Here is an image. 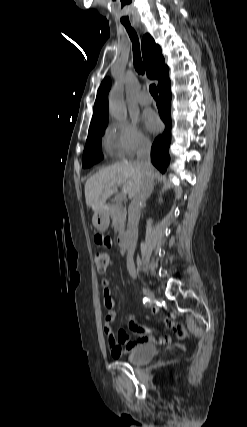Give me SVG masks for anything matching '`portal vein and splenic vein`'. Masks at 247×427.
<instances>
[{
	"label": "portal vein and splenic vein",
	"instance_id": "obj_1",
	"mask_svg": "<svg viewBox=\"0 0 247 427\" xmlns=\"http://www.w3.org/2000/svg\"><path fill=\"white\" fill-rule=\"evenodd\" d=\"M126 197V192H122L116 197V200L122 201Z\"/></svg>",
	"mask_w": 247,
	"mask_h": 427
}]
</instances>
